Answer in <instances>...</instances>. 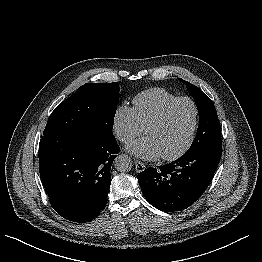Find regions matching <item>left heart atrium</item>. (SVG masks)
<instances>
[{
	"instance_id": "39dd6f15",
	"label": "left heart atrium",
	"mask_w": 262,
	"mask_h": 262,
	"mask_svg": "<svg viewBox=\"0 0 262 262\" xmlns=\"http://www.w3.org/2000/svg\"><path fill=\"white\" fill-rule=\"evenodd\" d=\"M136 157L145 160H155L162 156L161 151L152 137L146 136L138 139L127 147Z\"/></svg>"
}]
</instances>
